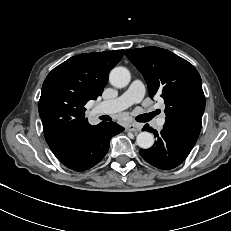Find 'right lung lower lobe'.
Masks as SVG:
<instances>
[{"label": "right lung lower lobe", "mask_w": 231, "mask_h": 231, "mask_svg": "<svg viewBox=\"0 0 231 231\" xmlns=\"http://www.w3.org/2000/svg\"><path fill=\"white\" fill-rule=\"evenodd\" d=\"M124 128L115 122H101L73 137L58 160L67 168L84 171L99 163L109 149V141Z\"/></svg>", "instance_id": "right-lung-lower-lobe-1"}]
</instances>
